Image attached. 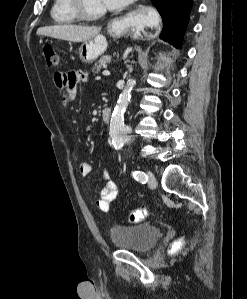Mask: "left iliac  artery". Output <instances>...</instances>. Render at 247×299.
<instances>
[{"label":"left iliac artery","mask_w":247,"mask_h":299,"mask_svg":"<svg viewBox=\"0 0 247 299\" xmlns=\"http://www.w3.org/2000/svg\"><path fill=\"white\" fill-rule=\"evenodd\" d=\"M133 177L142 184H145L148 180L147 175L142 171L132 172Z\"/></svg>","instance_id":"44dca946"}]
</instances>
